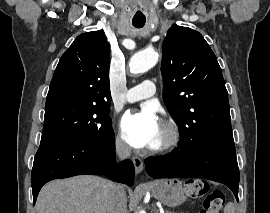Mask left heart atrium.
I'll use <instances>...</instances> for the list:
<instances>
[{"label":"left heart atrium","instance_id":"39dd6f15","mask_svg":"<svg viewBox=\"0 0 270 213\" xmlns=\"http://www.w3.org/2000/svg\"><path fill=\"white\" fill-rule=\"evenodd\" d=\"M160 127L155 109L150 106L139 112L126 113L120 124L123 140L136 149L152 147Z\"/></svg>","mask_w":270,"mask_h":213}]
</instances>
